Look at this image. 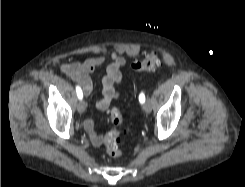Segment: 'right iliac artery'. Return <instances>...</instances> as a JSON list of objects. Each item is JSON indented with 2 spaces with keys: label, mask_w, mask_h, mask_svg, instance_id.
Masks as SVG:
<instances>
[{
  "label": "right iliac artery",
  "mask_w": 245,
  "mask_h": 187,
  "mask_svg": "<svg viewBox=\"0 0 245 187\" xmlns=\"http://www.w3.org/2000/svg\"><path fill=\"white\" fill-rule=\"evenodd\" d=\"M77 97L81 100L83 98V92L79 86H76Z\"/></svg>",
  "instance_id": "1"
}]
</instances>
